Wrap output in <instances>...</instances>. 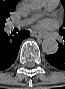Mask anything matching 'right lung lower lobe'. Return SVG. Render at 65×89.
<instances>
[{"label": "right lung lower lobe", "instance_id": "right-lung-lower-lobe-1", "mask_svg": "<svg viewBox=\"0 0 65 89\" xmlns=\"http://www.w3.org/2000/svg\"><path fill=\"white\" fill-rule=\"evenodd\" d=\"M30 36L27 30H21L15 36H9L0 29V71L9 68L16 60L21 42Z\"/></svg>", "mask_w": 65, "mask_h": 89}]
</instances>
